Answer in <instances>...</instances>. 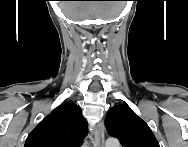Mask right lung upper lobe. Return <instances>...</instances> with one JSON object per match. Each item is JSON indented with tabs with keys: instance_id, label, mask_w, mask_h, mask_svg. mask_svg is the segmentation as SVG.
I'll use <instances>...</instances> for the list:
<instances>
[{
	"instance_id": "obj_1",
	"label": "right lung upper lobe",
	"mask_w": 188,
	"mask_h": 147,
	"mask_svg": "<svg viewBox=\"0 0 188 147\" xmlns=\"http://www.w3.org/2000/svg\"><path fill=\"white\" fill-rule=\"evenodd\" d=\"M87 132L81 108L64 103L33 129L24 147H80Z\"/></svg>"
}]
</instances>
